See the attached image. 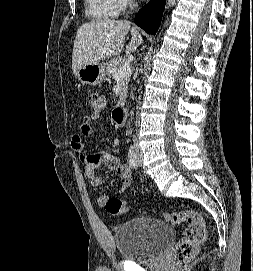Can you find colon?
Segmentation results:
<instances>
[{
	"label": "colon",
	"instance_id": "colon-1",
	"mask_svg": "<svg viewBox=\"0 0 253 271\" xmlns=\"http://www.w3.org/2000/svg\"><path fill=\"white\" fill-rule=\"evenodd\" d=\"M90 102L94 113H100L106 107V98L98 93L90 94ZM103 207L112 215H121L129 210L126 202L114 197L106 200ZM163 217L172 225L187 223L183 237L176 245L173 257L179 263L189 261L197 247L206 240L207 230L203 215L196 210H183L164 212Z\"/></svg>",
	"mask_w": 253,
	"mask_h": 271
}]
</instances>
